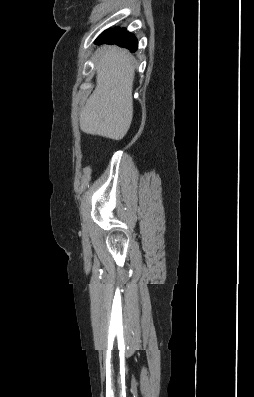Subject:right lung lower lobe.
<instances>
[{
    "label": "right lung lower lobe",
    "mask_w": 254,
    "mask_h": 397,
    "mask_svg": "<svg viewBox=\"0 0 254 397\" xmlns=\"http://www.w3.org/2000/svg\"><path fill=\"white\" fill-rule=\"evenodd\" d=\"M96 44L108 43L116 44L120 47L127 48L133 52L137 50L138 42L135 36L126 29L117 28L104 31L97 39Z\"/></svg>",
    "instance_id": "right-lung-lower-lobe-1"
}]
</instances>
